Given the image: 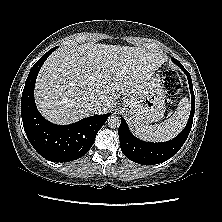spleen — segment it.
Segmentation results:
<instances>
[{
	"instance_id": "3e777b00",
	"label": "spleen",
	"mask_w": 222,
	"mask_h": 222,
	"mask_svg": "<svg viewBox=\"0 0 222 222\" xmlns=\"http://www.w3.org/2000/svg\"><path fill=\"white\" fill-rule=\"evenodd\" d=\"M190 110L189 99L180 100L175 113L162 123L155 125L135 126V133L143 140L150 142H164L177 136L184 128Z\"/></svg>"
}]
</instances>
